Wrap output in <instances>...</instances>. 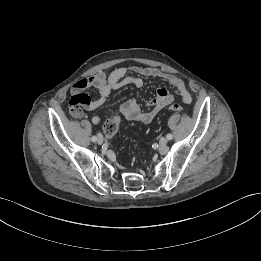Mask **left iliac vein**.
<instances>
[{
  "label": "left iliac vein",
  "instance_id": "left-iliac-vein-1",
  "mask_svg": "<svg viewBox=\"0 0 261 261\" xmlns=\"http://www.w3.org/2000/svg\"><path fill=\"white\" fill-rule=\"evenodd\" d=\"M166 144H167V139L165 137H161L159 140V145L161 147H164V146H166Z\"/></svg>",
  "mask_w": 261,
  "mask_h": 261
}]
</instances>
